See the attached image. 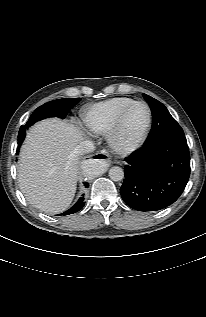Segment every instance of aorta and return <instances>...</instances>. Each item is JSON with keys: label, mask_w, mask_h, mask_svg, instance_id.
I'll use <instances>...</instances> for the list:
<instances>
[{"label": "aorta", "mask_w": 206, "mask_h": 317, "mask_svg": "<svg viewBox=\"0 0 206 317\" xmlns=\"http://www.w3.org/2000/svg\"><path fill=\"white\" fill-rule=\"evenodd\" d=\"M83 172L87 176H95L99 173V163L95 160H90L84 163ZM109 177L113 181H121L124 178V171L121 167L114 166L109 170Z\"/></svg>", "instance_id": "aorta-1"}]
</instances>
